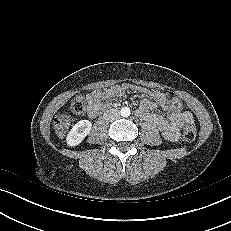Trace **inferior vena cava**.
Instances as JSON below:
<instances>
[{
    "label": "inferior vena cava",
    "instance_id": "obj_1",
    "mask_svg": "<svg viewBox=\"0 0 231 231\" xmlns=\"http://www.w3.org/2000/svg\"><path fill=\"white\" fill-rule=\"evenodd\" d=\"M103 117L107 121H114L120 117V112L116 109H109L104 112Z\"/></svg>",
    "mask_w": 231,
    "mask_h": 231
}]
</instances>
